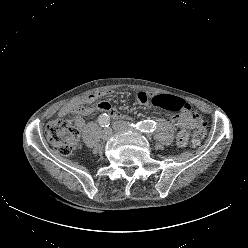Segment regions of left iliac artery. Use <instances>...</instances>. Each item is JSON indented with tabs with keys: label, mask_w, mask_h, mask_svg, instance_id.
Wrapping results in <instances>:
<instances>
[{
	"label": "left iliac artery",
	"mask_w": 248,
	"mask_h": 248,
	"mask_svg": "<svg viewBox=\"0 0 248 248\" xmlns=\"http://www.w3.org/2000/svg\"><path fill=\"white\" fill-rule=\"evenodd\" d=\"M131 126L136 127L137 129L146 133H151L156 130V123L153 120L140 121L136 125L132 123Z\"/></svg>",
	"instance_id": "left-iliac-artery-1"
}]
</instances>
